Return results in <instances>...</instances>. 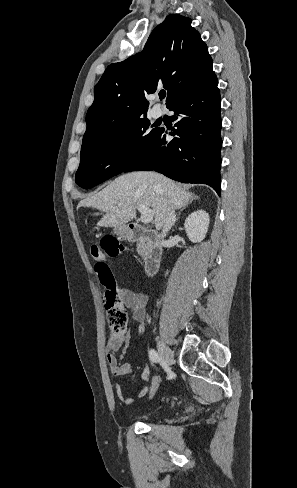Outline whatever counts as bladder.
<instances>
[{"label": "bladder", "mask_w": 297, "mask_h": 488, "mask_svg": "<svg viewBox=\"0 0 297 488\" xmlns=\"http://www.w3.org/2000/svg\"><path fill=\"white\" fill-rule=\"evenodd\" d=\"M151 416L149 415H139V416H136V419H142V420H145V419H149Z\"/></svg>", "instance_id": "1"}]
</instances>
